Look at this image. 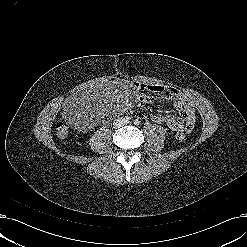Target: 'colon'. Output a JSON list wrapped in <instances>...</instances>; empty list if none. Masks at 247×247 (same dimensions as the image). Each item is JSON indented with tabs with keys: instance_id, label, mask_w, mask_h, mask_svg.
<instances>
[{
	"instance_id": "obj_1",
	"label": "colon",
	"mask_w": 247,
	"mask_h": 247,
	"mask_svg": "<svg viewBox=\"0 0 247 247\" xmlns=\"http://www.w3.org/2000/svg\"><path fill=\"white\" fill-rule=\"evenodd\" d=\"M56 134L60 138H65L69 134V128L64 122H58L56 124ZM175 137L177 140H183L185 137L184 132L182 131H177L175 134Z\"/></svg>"
}]
</instances>
